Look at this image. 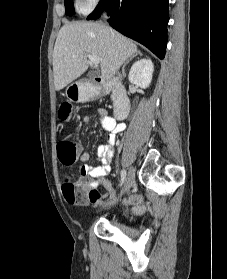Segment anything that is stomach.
<instances>
[{"label":"stomach","instance_id":"stomach-1","mask_svg":"<svg viewBox=\"0 0 227 279\" xmlns=\"http://www.w3.org/2000/svg\"><path fill=\"white\" fill-rule=\"evenodd\" d=\"M65 96L72 102L87 101L93 96V91L89 86L80 82L72 83L66 88Z\"/></svg>","mask_w":227,"mask_h":279}]
</instances>
